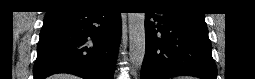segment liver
Wrapping results in <instances>:
<instances>
[{
    "mask_svg": "<svg viewBox=\"0 0 255 79\" xmlns=\"http://www.w3.org/2000/svg\"><path fill=\"white\" fill-rule=\"evenodd\" d=\"M52 79H78L76 76L68 74H58L51 77Z\"/></svg>",
    "mask_w": 255,
    "mask_h": 79,
    "instance_id": "6515ba94",
    "label": "liver"
}]
</instances>
